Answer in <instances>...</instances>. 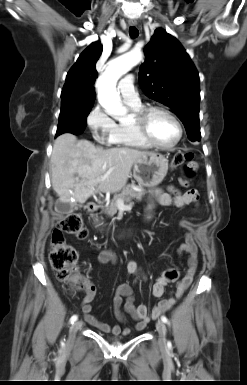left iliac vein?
<instances>
[{"label": "left iliac vein", "mask_w": 247, "mask_h": 385, "mask_svg": "<svg viewBox=\"0 0 247 385\" xmlns=\"http://www.w3.org/2000/svg\"><path fill=\"white\" fill-rule=\"evenodd\" d=\"M156 329L159 334V344L161 346H165L166 345V325L164 324L163 321L158 320L156 322Z\"/></svg>", "instance_id": "1"}]
</instances>
